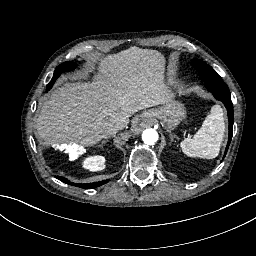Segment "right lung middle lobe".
Here are the masks:
<instances>
[{
    "label": "right lung middle lobe",
    "instance_id": "obj_1",
    "mask_svg": "<svg viewBox=\"0 0 256 256\" xmlns=\"http://www.w3.org/2000/svg\"><path fill=\"white\" fill-rule=\"evenodd\" d=\"M76 67V64L74 62H64L62 64H60L54 72V76L52 78V80L50 81V83L47 85V90H49L53 83L55 82V80L60 76V74L64 71H71Z\"/></svg>",
    "mask_w": 256,
    "mask_h": 256
}]
</instances>
